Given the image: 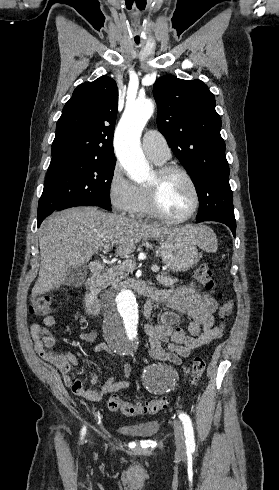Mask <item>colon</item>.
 Masks as SVG:
<instances>
[{"instance_id": "1", "label": "colon", "mask_w": 279, "mask_h": 490, "mask_svg": "<svg viewBox=\"0 0 279 490\" xmlns=\"http://www.w3.org/2000/svg\"><path fill=\"white\" fill-rule=\"evenodd\" d=\"M194 275L204 290L215 291L216 284L212 273L205 262H201L195 269ZM54 311L53 301L49 295H39L33 298L30 304V313L33 316L47 317ZM227 314H224L221 321H226ZM205 360L203 357H196L192 360L191 376L197 380L205 370ZM169 403L165 398L152 399L146 401L129 402L122 400V397L113 393L106 399V406L110 411L119 412L126 416L153 415L168 407Z\"/></svg>"}]
</instances>
